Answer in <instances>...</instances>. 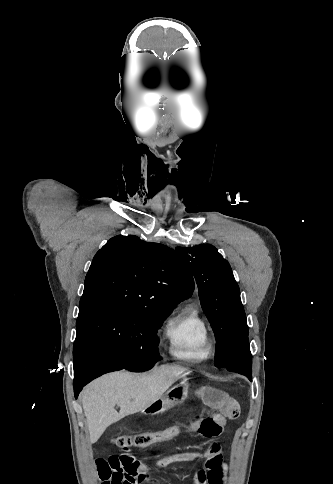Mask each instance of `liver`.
Instances as JSON below:
<instances>
[{
	"label": "liver",
	"instance_id": "liver-1",
	"mask_svg": "<svg viewBox=\"0 0 333 484\" xmlns=\"http://www.w3.org/2000/svg\"><path fill=\"white\" fill-rule=\"evenodd\" d=\"M186 371L176 365H161L147 373L119 371L92 381L81 394L91 442L111 424L150 407Z\"/></svg>",
	"mask_w": 333,
	"mask_h": 484
}]
</instances>
